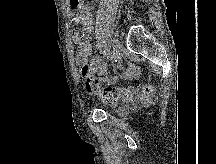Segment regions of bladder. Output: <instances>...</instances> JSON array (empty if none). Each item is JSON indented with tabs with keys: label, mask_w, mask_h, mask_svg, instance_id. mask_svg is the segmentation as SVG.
Segmentation results:
<instances>
[{
	"label": "bladder",
	"mask_w": 216,
	"mask_h": 164,
	"mask_svg": "<svg viewBox=\"0 0 216 164\" xmlns=\"http://www.w3.org/2000/svg\"><path fill=\"white\" fill-rule=\"evenodd\" d=\"M128 111L127 107H122L118 110L119 113H126Z\"/></svg>",
	"instance_id": "1"
}]
</instances>
